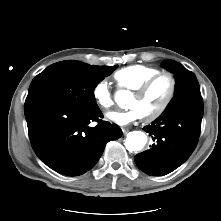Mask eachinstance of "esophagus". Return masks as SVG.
Wrapping results in <instances>:
<instances>
[{"label": "esophagus", "mask_w": 221, "mask_h": 221, "mask_svg": "<svg viewBox=\"0 0 221 221\" xmlns=\"http://www.w3.org/2000/svg\"><path fill=\"white\" fill-rule=\"evenodd\" d=\"M122 131H123L124 134H126L129 131V129L128 128H122Z\"/></svg>", "instance_id": "1"}]
</instances>
